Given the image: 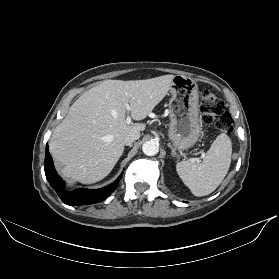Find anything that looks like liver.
Returning <instances> with one entry per match:
<instances>
[{
	"mask_svg": "<svg viewBox=\"0 0 279 279\" xmlns=\"http://www.w3.org/2000/svg\"><path fill=\"white\" fill-rule=\"evenodd\" d=\"M174 77L106 80L82 94L50 138L60 173L83 184L105 178L124 151L125 136L146 128L144 123H126V104L132 119H145L166 96Z\"/></svg>",
	"mask_w": 279,
	"mask_h": 279,
	"instance_id": "liver-1",
	"label": "liver"
}]
</instances>
